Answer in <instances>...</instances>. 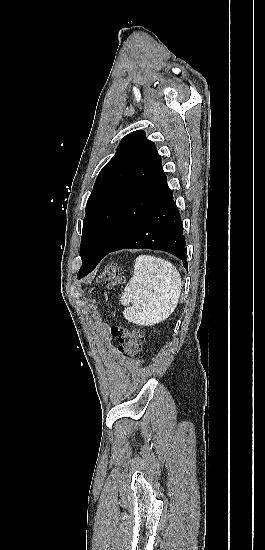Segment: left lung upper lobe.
I'll list each match as a JSON object with an SVG mask.
<instances>
[{
    "label": "left lung upper lobe",
    "mask_w": 265,
    "mask_h": 550,
    "mask_svg": "<svg viewBox=\"0 0 265 550\" xmlns=\"http://www.w3.org/2000/svg\"><path fill=\"white\" fill-rule=\"evenodd\" d=\"M168 190L155 144L143 131L126 135L87 201L81 259L93 249H110Z\"/></svg>",
    "instance_id": "1"
}]
</instances>
